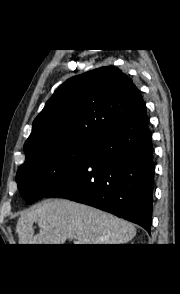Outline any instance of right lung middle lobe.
I'll use <instances>...</instances> for the list:
<instances>
[{
	"mask_svg": "<svg viewBox=\"0 0 180 294\" xmlns=\"http://www.w3.org/2000/svg\"><path fill=\"white\" fill-rule=\"evenodd\" d=\"M94 141H70L45 147L19 167L16 181L24 200L31 204L65 182L88 157Z\"/></svg>",
	"mask_w": 180,
	"mask_h": 294,
	"instance_id": "obj_1",
	"label": "right lung middle lobe"
}]
</instances>
